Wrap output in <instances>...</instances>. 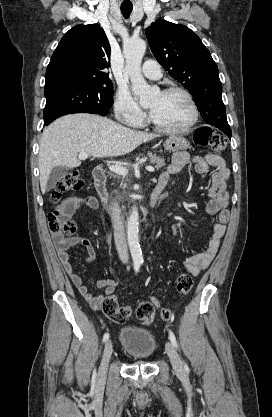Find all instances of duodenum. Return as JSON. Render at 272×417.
I'll return each mask as SVG.
<instances>
[{
    "label": "duodenum",
    "instance_id": "duodenum-1",
    "mask_svg": "<svg viewBox=\"0 0 272 417\" xmlns=\"http://www.w3.org/2000/svg\"><path fill=\"white\" fill-rule=\"evenodd\" d=\"M93 180L94 185L97 191V194L105 206L109 204V194L106 188L107 180V170L105 166L101 165L94 169L93 171ZM166 182H158L153 191L151 192L148 198V205L153 207L155 206L162 195L164 188L166 187Z\"/></svg>",
    "mask_w": 272,
    "mask_h": 417
}]
</instances>
